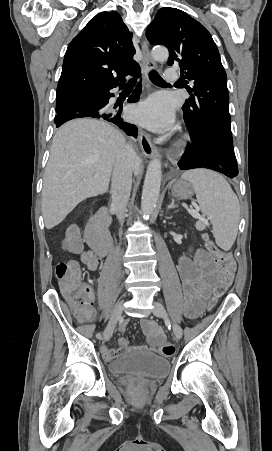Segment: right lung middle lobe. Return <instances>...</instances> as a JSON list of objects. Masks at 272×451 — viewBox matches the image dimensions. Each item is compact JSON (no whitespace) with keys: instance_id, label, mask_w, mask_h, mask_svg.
<instances>
[{"instance_id":"obj_1","label":"right lung middle lobe","mask_w":272,"mask_h":451,"mask_svg":"<svg viewBox=\"0 0 272 451\" xmlns=\"http://www.w3.org/2000/svg\"><path fill=\"white\" fill-rule=\"evenodd\" d=\"M60 99H62V98H57V101H59Z\"/></svg>"}]
</instances>
